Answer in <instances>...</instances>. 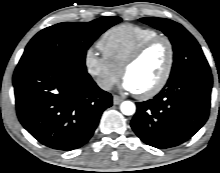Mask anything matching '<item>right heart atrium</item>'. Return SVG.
Masks as SVG:
<instances>
[{"mask_svg":"<svg viewBox=\"0 0 220 173\" xmlns=\"http://www.w3.org/2000/svg\"><path fill=\"white\" fill-rule=\"evenodd\" d=\"M86 72L95 80L96 84L105 91H109L119 80L121 70L99 56L93 49H88L84 56Z\"/></svg>","mask_w":220,"mask_h":173,"instance_id":"right-heart-atrium-1","label":"right heart atrium"}]
</instances>
